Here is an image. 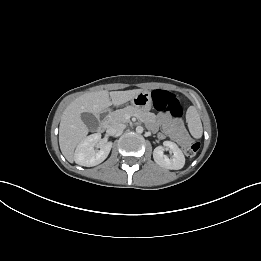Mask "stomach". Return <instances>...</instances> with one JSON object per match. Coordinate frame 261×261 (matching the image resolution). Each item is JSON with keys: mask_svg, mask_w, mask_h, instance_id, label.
I'll return each mask as SVG.
<instances>
[{"mask_svg": "<svg viewBox=\"0 0 261 261\" xmlns=\"http://www.w3.org/2000/svg\"><path fill=\"white\" fill-rule=\"evenodd\" d=\"M132 106L139 108L143 111L151 109L152 97L149 91H142L130 100Z\"/></svg>", "mask_w": 261, "mask_h": 261, "instance_id": "obj_1", "label": "stomach"}]
</instances>
